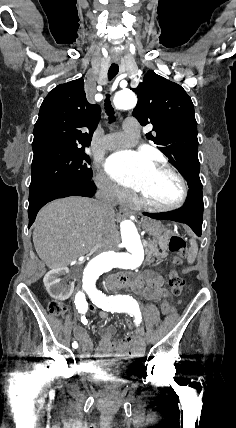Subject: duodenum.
<instances>
[{
	"label": "duodenum",
	"instance_id": "obj_1",
	"mask_svg": "<svg viewBox=\"0 0 236 428\" xmlns=\"http://www.w3.org/2000/svg\"><path fill=\"white\" fill-rule=\"evenodd\" d=\"M140 277V275L131 272L121 273L108 277L104 286L111 295H117L121 294L123 290L133 288Z\"/></svg>",
	"mask_w": 236,
	"mask_h": 428
}]
</instances>
